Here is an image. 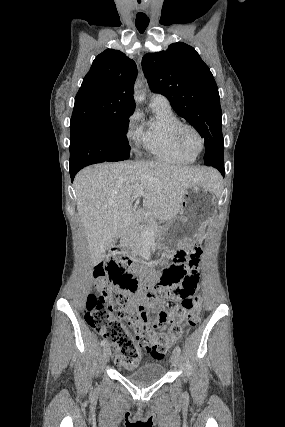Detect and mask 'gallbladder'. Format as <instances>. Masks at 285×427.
Returning <instances> with one entry per match:
<instances>
[{"label":"gallbladder","mask_w":285,"mask_h":427,"mask_svg":"<svg viewBox=\"0 0 285 427\" xmlns=\"http://www.w3.org/2000/svg\"><path fill=\"white\" fill-rule=\"evenodd\" d=\"M113 244H114V242H113V241H112V242H110V243H109V245H108V249H109V248H111V247L113 246Z\"/></svg>","instance_id":"1"}]
</instances>
